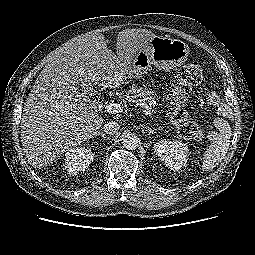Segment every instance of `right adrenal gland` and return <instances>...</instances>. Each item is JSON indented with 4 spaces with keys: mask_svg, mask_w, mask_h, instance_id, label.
<instances>
[{
    "mask_svg": "<svg viewBox=\"0 0 255 255\" xmlns=\"http://www.w3.org/2000/svg\"><path fill=\"white\" fill-rule=\"evenodd\" d=\"M97 134H98V135H101V136L106 140L105 133H103V132L101 131V132H98Z\"/></svg>",
    "mask_w": 255,
    "mask_h": 255,
    "instance_id": "2a0ac1e0",
    "label": "right adrenal gland"
}]
</instances>
